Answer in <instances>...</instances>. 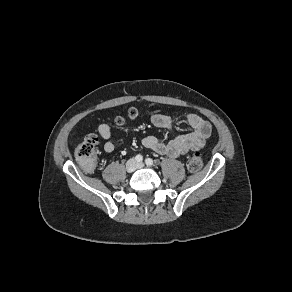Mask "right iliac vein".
I'll return each instance as SVG.
<instances>
[{
  "label": "right iliac vein",
  "mask_w": 292,
  "mask_h": 292,
  "mask_svg": "<svg viewBox=\"0 0 292 292\" xmlns=\"http://www.w3.org/2000/svg\"><path fill=\"white\" fill-rule=\"evenodd\" d=\"M135 169H136V162H135V160H133V159L129 160L127 162V164H126V170H127V172L131 173V172L135 171Z\"/></svg>",
  "instance_id": "right-iliac-vein-1"
}]
</instances>
